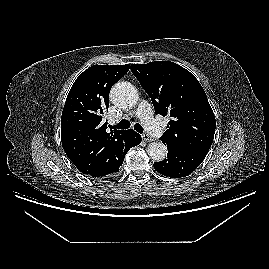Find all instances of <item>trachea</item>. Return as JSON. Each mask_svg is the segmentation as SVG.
<instances>
[{"instance_id":"obj_1","label":"trachea","mask_w":269,"mask_h":269,"mask_svg":"<svg viewBox=\"0 0 269 269\" xmlns=\"http://www.w3.org/2000/svg\"><path fill=\"white\" fill-rule=\"evenodd\" d=\"M130 125H131L130 122L124 119V120H121L117 125L112 126V128L128 129ZM134 129L139 133H143V127L139 123H136L134 125Z\"/></svg>"}]
</instances>
